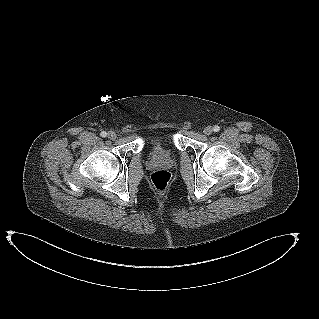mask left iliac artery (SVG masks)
I'll use <instances>...</instances> for the list:
<instances>
[{
    "label": "left iliac artery",
    "instance_id": "1",
    "mask_svg": "<svg viewBox=\"0 0 319 319\" xmlns=\"http://www.w3.org/2000/svg\"><path fill=\"white\" fill-rule=\"evenodd\" d=\"M213 130H214L215 132H218V131L220 130V127H219L218 125H216V126H214Z\"/></svg>",
    "mask_w": 319,
    "mask_h": 319
}]
</instances>
